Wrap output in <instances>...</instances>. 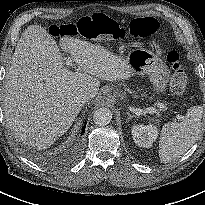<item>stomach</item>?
<instances>
[{"mask_svg":"<svg viewBox=\"0 0 205 205\" xmlns=\"http://www.w3.org/2000/svg\"><path fill=\"white\" fill-rule=\"evenodd\" d=\"M132 75L147 74L157 92H163L167 85L169 71L166 64L153 52L139 48L132 50L126 57ZM125 98V95H122Z\"/></svg>","mask_w":205,"mask_h":205,"instance_id":"obj_1","label":"stomach"}]
</instances>
